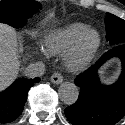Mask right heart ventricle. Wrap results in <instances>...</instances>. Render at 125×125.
I'll use <instances>...</instances> for the list:
<instances>
[{
  "label": "right heart ventricle",
  "mask_w": 125,
  "mask_h": 125,
  "mask_svg": "<svg viewBox=\"0 0 125 125\" xmlns=\"http://www.w3.org/2000/svg\"><path fill=\"white\" fill-rule=\"evenodd\" d=\"M86 29H88V26L82 23H73L52 29L44 37V46L47 52L53 55L63 54L78 35Z\"/></svg>",
  "instance_id": "obj_1"
}]
</instances>
